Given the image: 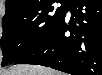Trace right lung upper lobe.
<instances>
[{
    "instance_id": "cb5924a9",
    "label": "right lung upper lobe",
    "mask_w": 102,
    "mask_h": 75,
    "mask_svg": "<svg viewBox=\"0 0 102 75\" xmlns=\"http://www.w3.org/2000/svg\"><path fill=\"white\" fill-rule=\"evenodd\" d=\"M55 0H6V13H14L23 9H31L41 4L52 2ZM69 1V0H67Z\"/></svg>"
}]
</instances>
